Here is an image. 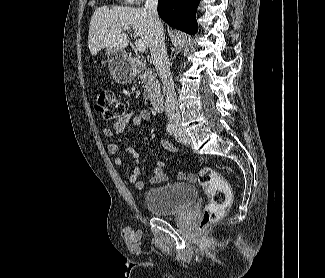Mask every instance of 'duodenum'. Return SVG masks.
<instances>
[{
	"label": "duodenum",
	"mask_w": 325,
	"mask_h": 278,
	"mask_svg": "<svg viewBox=\"0 0 325 278\" xmlns=\"http://www.w3.org/2000/svg\"><path fill=\"white\" fill-rule=\"evenodd\" d=\"M132 64L134 66V68H139L141 67L143 64L140 60H137V59H134L132 61ZM152 108L155 110V111H162L163 108H164V98L161 97V96H156L152 99Z\"/></svg>",
	"instance_id": "duodenum-1"
}]
</instances>
